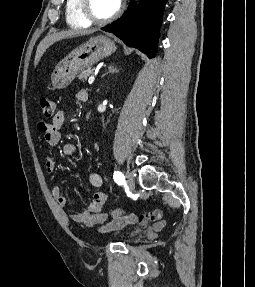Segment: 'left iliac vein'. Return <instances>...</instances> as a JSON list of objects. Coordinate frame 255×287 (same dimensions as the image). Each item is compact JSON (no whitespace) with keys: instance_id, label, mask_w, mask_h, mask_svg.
<instances>
[{"instance_id":"1","label":"left iliac vein","mask_w":255,"mask_h":287,"mask_svg":"<svg viewBox=\"0 0 255 287\" xmlns=\"http://www.w3.org/2000/svg\"><path fill=\"white\" fill-rule=\"evenodd\" d=\"M126 184L129 188V190L133 191L135 184H134V178L131 172L127 171L126 172Z\"/></svg>"}]
</instances>
